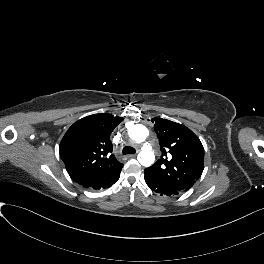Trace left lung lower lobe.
I'll use <instances>...</instances> for the list:
<instances>
[{"mask_svg": "<svg viewBox=\"0 0 264 264\" xmlns=\"http://www.w3.org/2000/svg\"><path fill=\"white\" fill-rule=\"evenodd\" d=\"M145 182L152 191L158 193L161 196L172 197V196L180 194V192L162 184L161 182L153 178L145 176Z\"/></svg>", "mask_w": 264, "mask_h": 264, "instance_id": "obj_1", "label": "left lung lower lobe"}]
</instances>
